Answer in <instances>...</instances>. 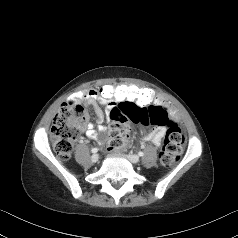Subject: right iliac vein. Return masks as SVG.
Returning <instances> with one entry per match:
<instances>
[{"mask_svg": "<svg viewBox=\"0 0 238 238\" xmlns=\"http://www.w3.org/2000/svg\"><path fill=\"white\" fill-rule=\"evenodd\" d=\"M98 159H99V155L98 154H93L91 156V162L92 163H96L98 161Z\"/></svg>", "mask_w": 238, "mask_h": 238, "instance_id": "right-iliac-vein-1", "label": "right iliac vein"}]
</instances>
